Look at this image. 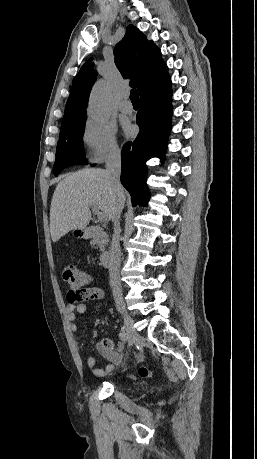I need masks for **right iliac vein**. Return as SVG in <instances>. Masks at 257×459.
<instances>
[{"instance_id": "1", "label": "right iliac vein", "mask_w": 257, "mask_h": 459, "mask_svg": "<svg viewBox=\"0 0 257 459\" xmlns=\"http://www.w3.org/2000/svg\"><path fill=\"white\" fill-rule=\"evenodd\" d=\"M120 313L123 317L124 320V329L126 330L129 340L131 344H135L136 341L139 339V334L136 331L134 325H133V320L131 316L123 309H120Z\"/></svg>"}]
</instances>
